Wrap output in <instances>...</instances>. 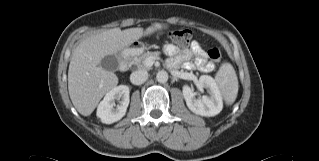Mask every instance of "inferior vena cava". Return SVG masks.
Listing matches in <instances>:
<instances>
[{
	"mask_svg": "<svg viewBox=\"0 0 319 161\" xmlns=\"http://www.w3.org/2000/svg\"><path fill=\"white\" fill-rule=\"evenodd\" d=\"M148 78L147 71L144 70H137L132 72L130 75V81L134 85H140L143 84Z\"/></svg>",
	"mask_w": 319,
	"mask_h": 161,
	"instance_id": "obj_1",
	"label": "inferior vena cava"
}]
</instances>
